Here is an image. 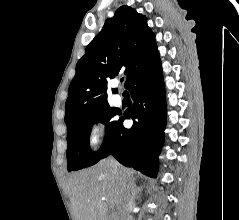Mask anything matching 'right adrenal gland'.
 <instances>
[{"label": "right adrenal gland", "instance_id": "1", "mask_svg": "<svg viewBox=\"0 0 239 220\" xmlns=\"http://www.w3.org/2000/svg\"><path fill=\"white\" fill-rule=\"evenodd\" d=\"M142 190L141 187H137L136 185H132L131 191H132V197L133 199L137 197V194Z\"/></svg>", "mask_w": 239, "mask_h": 220}]
</instances>
